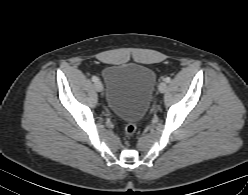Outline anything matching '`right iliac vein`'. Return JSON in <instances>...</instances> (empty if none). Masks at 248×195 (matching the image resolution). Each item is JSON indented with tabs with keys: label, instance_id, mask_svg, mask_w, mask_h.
Masks as SVG:
<instances>
[{
	"label": "right iliac vein",
	"instance_id": "right-iliac-vein-1",
	"mask_svg": "<svg viewBox=\"0 0 248 195\" xmlns=\"http://www.w3.org/2000/svg\"><path fill=\"white\" fill-rule=\"evenodd\" d=\"M95 89L98 91V92H101L103 91V85L100 81H97L95 82V85H94Z\"/></svg>",
	"mask_w": 248,
	"mask_h": 195
}]
</instances>
